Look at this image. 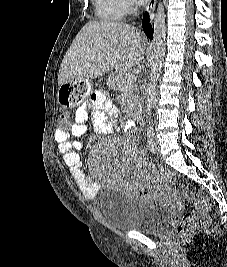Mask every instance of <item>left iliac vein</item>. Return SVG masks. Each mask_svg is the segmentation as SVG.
Wrapping results in <instances>:
<instances>
[{
	"mask_svg": "<svg viewBox=\"0 0 227 267\" xmlns=\"http://www.w3.org/2000/svg\"><path fill=\"white\" fill-rule=\"evenodd\" d=\"M152 139H153V145H154V147H156V148H157V141H156V139H155L154 135L152 136Z\"/></svg>",
	"mask_w": 227,
	"mask_h": 267,
	"instance_id": "obj_1",
	"label": "left iliac vein"
}]
</instances>
